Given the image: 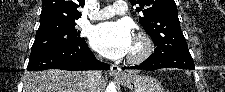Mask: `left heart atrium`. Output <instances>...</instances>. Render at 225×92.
<instances>
[{
    "label": "left heart atrium",
    "instance_id": "obj_1",
    "mask_svg": "<svg viewBox=\"0 0 225 92\" xmlns=\"http://www.w3.org/2000/svg\"><path fill=\"white\" fill-rule=\"evenodd\" d=\"M90 43L101 55L119 59L132 49L131 27L124 20L101 23L92 29Z\"/></svg>",
    "mask_w": 225,
    "mask_h": 92
}]
</instances>
